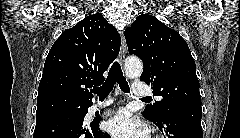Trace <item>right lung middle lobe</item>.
Here are the masks:
<instances>
[{"label": "right lung middle lobe", "instance_id": "right-lung-middle-lobe-1", "mask_svg": "<svg viewBox=\"0 0 240 138\" xmlns=\"http://www.w3.org/2000/svg\"><path fill=\"white\" fill-rule=\"evenodd\" d=\"M87 108L88 107H83V108H74L75 110H78L79 112H85L87 111ZM68 110H73V109H68ZM52 114V113H51ZM49 114H46V115H41V116H36V118H40V117H44V116H47Z\"/></svg>", "mask_w": 240, "mask_h": 138}]
</instances>
